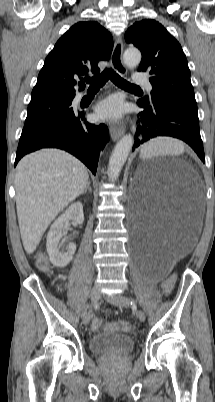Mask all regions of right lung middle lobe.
I'll list each match as a JSON object with an SVG mask.
<instances>
[{
    "instance_id": "1",
    "label": "right lung middle lobe",
    "mask_w": 215,
    "mask_h": 402,
    "mask_svg": "<svg viewBox=\"0 0 215 402\" xmlns=\"http://www.w3.org/2000/svg\"><path fill=\"white\" fill-rule=\"evenodd\" d=\"M72 100L73 98L66 97H49L31 100L28 105L27 118L21 138L73 112V109L70 107Z\"/></svg>"
}]
</instances>
